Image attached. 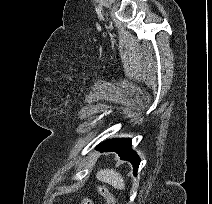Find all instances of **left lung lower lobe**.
I'll return each instance as SVG.
<instances>
[{
  "label": "left lung lower lobe",
  "instance_id": "obj_1",
  "mask_svg": "<svg viewBox=\"0 0 212 204\" xmlns=\"http://www.w3.org/2000/svg\"><path fill=\"white\" fill-rule=\"evenodd\" d=\"M98 151H114L121 157L122 160L130 161L133 165L134 174L136 175L140 159L137 154L131 149V139H114L106 141L96 148Z\"/></svg>",
  "mask_w": 212,
  "mask_h": 204
}]
</instances>
